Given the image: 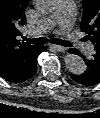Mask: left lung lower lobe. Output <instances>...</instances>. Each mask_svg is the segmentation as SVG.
Masks as SVG:
<instances>
[{"instance_id": "0a47b994", "label": "left lung lower lobe", "mask_w": 100, "mask_h": 118, "mask_svg": "<svg viewBox=\"0 0 100 118\" xmlns=\"http://www.w3.org/2000/svg\"><path fill=\"white\" fill-rule=\"evenodd\" d=\"M71 52L80 55L78 52ZM87 69L82 74H70V77L77 83L91 86L100 83V55L94 54L92 58L85 60Z\"/></svg>"}]
</instances>
